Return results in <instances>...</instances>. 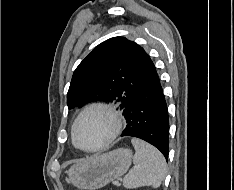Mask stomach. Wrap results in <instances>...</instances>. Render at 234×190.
<instances>
[{
  "label": "stomach",
  "instance_id": "stomach-1",
  "mask_svg": "<svg viewBox=\"0 0 234 190\" xmlns=\"http://www.w3.org/2000/svg\"><path fill=\"white\" fill-rule=\"evenodd\" d=\"M132 161V151L118 148L72 165L67 171L70 183L81 190H96L124 175Z\"/></svg>",
  "mask_w": 234,
  "mask_h": 190
}]
</instances>
